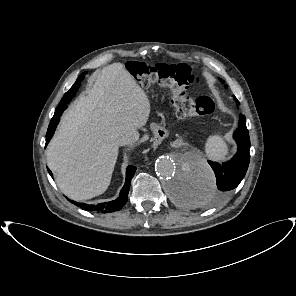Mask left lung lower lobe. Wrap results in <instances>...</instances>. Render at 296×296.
Instances as JSON below:
<instances>
[{
  "mask_svg": "<svg viewBox=\"0 0 296 296\" xmlns=\"http://www.w3.org/2000/svg\"><path fill=\"white\" fill-rule=\"evenodd\" d=\"M235 98V97H234ZM237 104L239 102L235 98ZM234 139L238 143V151L231 161L220 165L212 161H208L216 175L217 188L211 193L195 192L187 177H182L181 185L186 188L184 200L186 204H204L205 202L215 198L219 199L226 195L229 191L235 189L244 178L250 161V139L246 128L245 116L240 115L239 127L234 132ZM178 189V188H177ZM180 193V189H178Z\"/></svg>",
  "mask_w": 296,
  "mask_h": 296,
  "instance_id": "left-lung-lower-lobe-1",
  "label": "left lung lower lobe"
}]
</instances>
